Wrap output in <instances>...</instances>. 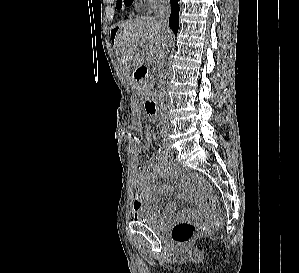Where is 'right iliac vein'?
Here are the masks:
<instances>
[{
  "instance_id": "right-iliac-vein-1",
  "label": "right iliac vein",
  "mask_w": 299,
  "mask_h": 273,
  "mask_svg": "<svg viewBox=\"0 0 299 273\" xmlns=\"http://www.w3.org/2000/svg\"><path fill=\"white\" fill-rule=\"evenodd\" d=\"M165 146H166V147H168V146H169V144H168V143H165Z\"/></svg>"
}]
</instances>
